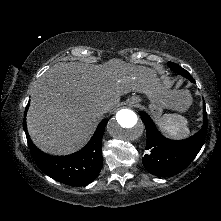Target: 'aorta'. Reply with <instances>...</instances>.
Instances as JSON below:
<instances>
[{
    "instance_id": "aorta-1",
    "label": "aorta",
    "mask_w": 221,
    "mask_h": 221,
    "mask_svg": "<svg viewBox=\"0 0 221 221\" xmlns=\"http://www.w3.org/2000/svg\"><path fill=\"white\" fill-rule=\"evenodd\" d=\"M144 127L136 113L130 109H120L107 124L108 133L122 141H133L143 133Z\"/></svg>"
}]
</instances>
